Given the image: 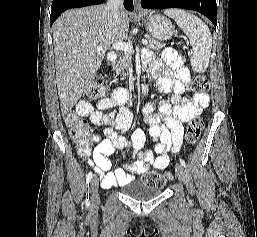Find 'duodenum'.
<instances>
[{"instance_id":"410a0bca","label":"duodenum","mask_w":257,"mask_h":237,"mask_svg":"<svg viewBox=\"0 0 257 237\" xmlns=\"http://www.w3.org/2000/svg\"><path fill=\"white\" fill-rule=\"evenodd\" d=\"M107 58L110 62H114V61H116V54L114 52H109L107 55ZM146 90H147V86L141 85L138 92L144 94L146 92ZM112 96L117 101H126V100L132 98L133 96H135V94L129 92L128 90H126L122 87H116L112 91Z\"/></svg>"}]
</instances>
